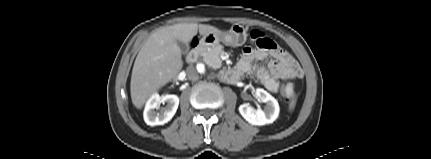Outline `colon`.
Returning <instances> with one entry per match:
<instances>
[{
	"label": "colon",
	"instance_id": "obj_1",
	"mask_svg": "<svg viewBox=\"0 0 431 159\" xmlns=\"http://www.w3.org/2000/svg\"><path fill=\"white\" fill-rule=\"evenodd\" d=\"M250 39H249V45H254V43H255V41L257 42V43H262L263 42V40H264V38H265V36H264V33H262L261 31H259V30H253L252 32H251V34H250ZM284 90H285V83H281V88H280V96H281V101H282V103H286V102H289V107H290V109H294V107H295V104H296V100H295V97H292L291 99L289 98V97H287V96H285V94H284Z\"/></svg>",
	"mask_w": 431,
	"mask_h": 159
}]
</instances>
